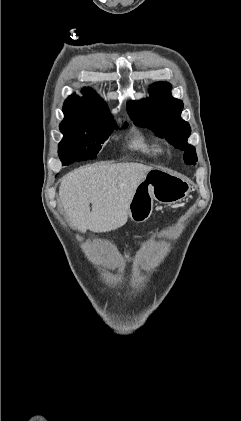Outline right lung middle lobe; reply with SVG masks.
I'll use <instances>...</instances> for the list:
<instances>
[{"label": "right lung middle lobe", "instance_id": "right-lung-middle-lobe-1", "mask_svg": "<svg viewBox=\"0 0 241 421\" xmlns=\"http://www.w3.org/2000/svg\"><path fill=\"white\" fill-rule=\"evenodd\" d=\"M127 123L124 128L127 127ZM112 118L99 119L93 123L62 122L60 130L64 137L59 143L58 154L62 165L81 160L95 159L103 144L116 129Z\"/></svg>", "mask_w": 241, "mask_h": 421}]
</instances>
